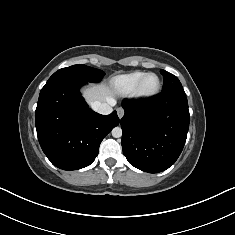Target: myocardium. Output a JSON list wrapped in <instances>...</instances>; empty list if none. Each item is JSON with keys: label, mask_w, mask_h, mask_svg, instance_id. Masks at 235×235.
<instances>
[{"label": "myocardium", "mask_w": 235, "mask_h": 235, "mask_svg": "<svg viewBox=\"0 0 235 235\" xmlns=\"http://www.w3.org/2000/svg\"><path fill=\"white\" fill-rule=\"evenodd\" d=\"M149 76H155L156 79H157V85H156V88L150 92H146L143 90L142 86H143V83L144 81L146 80L147 77ZM160 89H161V80L159 78V76L153 72H148V73H145L143 75V77L140 79V81L138 82L133 94L135 97H138V98H151V97H154L156 96L159 92H160Z\"/></svg>", "instance_id": "1"}]
</instances>
